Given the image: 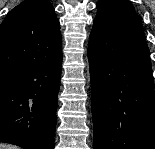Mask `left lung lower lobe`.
Instances as JSON below:
<instances>
[{
    "instance_id": "0a47b994",
    "label": "left lung lower lobe",
    "mask_w": 155,
    "mask_h": 149,
    "mask_svg": "<svg viewBox=\"0 0 155 149\" xmlns=\"http://www.w3.org/2000/svg\"><path fill=\"white\" fill-rule=\"evenodd\" d=\"M94 149H155V93L142 19L93 26Z\"/></svg>"
}]
</instances>
